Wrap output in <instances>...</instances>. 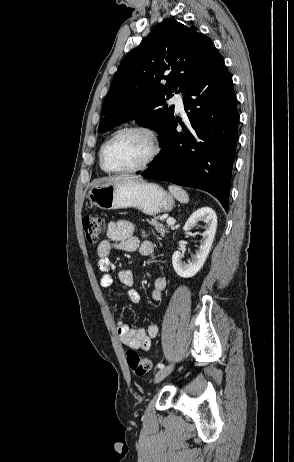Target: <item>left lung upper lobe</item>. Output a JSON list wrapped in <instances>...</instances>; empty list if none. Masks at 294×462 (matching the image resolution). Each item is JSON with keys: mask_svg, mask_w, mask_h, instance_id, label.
Instances as JSON below:
<instances>
[{"mask_svg": "<svg viewBox=\"0 0 294 462\" xmlns=\"http://www.w3.org/2000/svg\"><path fill=\"white\" fill-rule=\"evenodd\" d=\"M222 58L211 39L177 20L160 23L130 52L116 71L103 103L99 131L135 119L164 136L174 120L166 99L187 86L211 63ZM161 79L167 82L160 83ZM178 92V91H177ZM163 106V108H160Z\"/></svg>", "mask_w": 294, "mask_h": 462, "instance_id": "1", "label": "left lung upper lobe"}]
</instances>
